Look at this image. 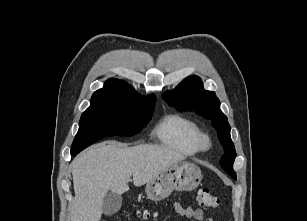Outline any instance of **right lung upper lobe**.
Instances as JSON below:
<instances>
[{"mask_svg":"<svg viewBox=\"0 0 307 221\" xmlns=\"http://www.w3.org/2000/svg\"><path fill=\"white\" fill-rule=\"evenodd\" d=\"M107 100L128 102H154L156 101V98L154 95L142 97L125 81L110 78L105 82L104 88L95 91L91 97V102Z\"/></svg>","mask_w":307,"mask_h":221,"instance_id":"cb5924a9","label":"right lung upper lobe"}]
</instances>
